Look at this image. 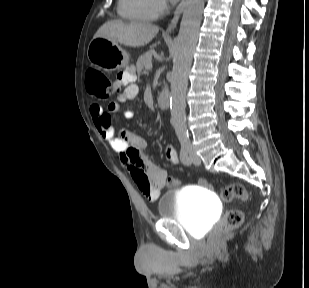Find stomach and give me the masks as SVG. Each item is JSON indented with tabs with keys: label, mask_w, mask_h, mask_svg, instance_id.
<instances>
[{
	"label": "stomach",
	"mask_w": 309,
	"mask_h": 288,
	"mask_svg": "<svg viewBox=\"0 0 309 288\" xmlns=\"http://www.w3.org/2000/svg\"><path fill=\"white\" fill-rule=\"evenodd\" d=\"M90 63L105 71H114L128 65L129 55L116 42L105 37H94L87 49Z\"/></svg>",
	"instance_id": "obj_1"
}]
</instances>
